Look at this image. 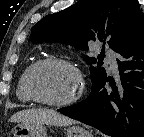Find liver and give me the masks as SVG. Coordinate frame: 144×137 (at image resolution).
Listing matches in <instances>:
<instances>
[{
    "label": "liver",
    "mask_w": 144,
    "mask_h": 137,
    "mask_svg": "<svg viewBox=\"0 0 144 137\" xmlns=\"http://www.w3.org/2000/svg\"><path fill=\"white\" fill-rule=\"evenodd\" d=\"M10 122L23 124H47L67 126L75 123L73 119L62 115L53 109H26L11 116Z\"/></svg>",
    "instance_id": "obj_1"
}]
</instances>
